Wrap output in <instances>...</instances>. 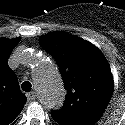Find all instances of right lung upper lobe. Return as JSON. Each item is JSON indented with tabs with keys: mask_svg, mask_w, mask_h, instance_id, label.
Listing matches in <instances>:
<instances>
[{
	"mask_svg": "<svg viewBox=\"0 0 125 125\" xmlns=\"http://www.w3.org/2000/svg\"><path fill=\"white\" fill-rule=\"evenodd\" d=\"M20 40L21 38L0 39V125H10L27 100L20 91L16 74L8 66V58Z\"/></svg>",
	"mask_w": 125,
	"mask_h": 125,
	"instance_id": "obj_1",
	"label": "right lung upper lobe"
}]
</instances>
